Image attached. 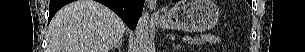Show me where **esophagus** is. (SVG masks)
Returning <instances> with one entry per match:
<instances>
[{"mask_svg":"<svg viewBox=\"0 0 305 52\" xmlns=\"http://www.w3.org/2000/svg\"><path fill=\"white\" fill-rule=\"evenodd\" d=\"M147 7L152 11L155 8L156 0H146Z\"/></svg>","mask_w":305,"mask_h":52,"instance_id":"1","label":"esophagus"}]
</instances>
